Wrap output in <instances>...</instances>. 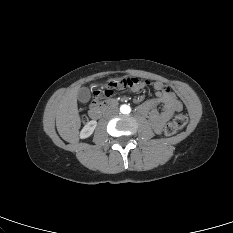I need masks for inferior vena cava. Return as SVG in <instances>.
Masks as SVG:
<instances>
[{
    "label": "inferior vena cava",
    "mask_w": 233,
    "mask_h": 233,
    "mask_svg": "<svg viewBox=\"0 0 233 233\" xmlns=\"http://www.w3.org/2000/svg\"><path fill=\"white\" fill-rule=\"evenodd\" d=\"M115 113H117V109H111V110L109 111V114H110V115H113V114H115Z\"/></svg>",
    "instance_id": "1"
}]
</instances>
